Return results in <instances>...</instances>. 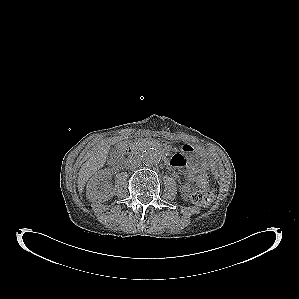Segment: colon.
<instances>
[{"label":"colon","mask_w":299,"mask_h":299,"mask_svg":"<svg viewBox=\"0 0 299 299\" xmlns=\"http://www.w3.org/2000/svg\"><path fill=\"white\" fill-rule=\"evenodd\" d=\"M196 183L199 189L191 195V201L199 206H208L214 199V193L209 189V177L205 172H200L196 176Z\"/></svg>","instance_id":"colon-1"}]
</instances>
